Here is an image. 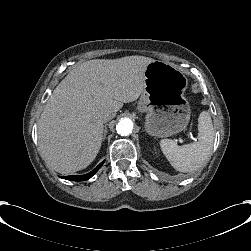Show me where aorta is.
I'll list each match as a JSON object with an SVG mask.
<instances>
[{
  "instance_id": "aorta-1",
  "label": "aorta",
  "mask_w": 251,
  "mask_h": 251,
  "mask_svg": "<svg viewBox=\"0 0 251 251\" xmlns=\"http://www.w3.org/2000/svg\"><path fill=\"white\" fill-rule=\"evenodd\" d=\"M132 129L133 123L130 119H123L116 126V130L121 136H127Z\"/></svg>"
}]
</instances>
